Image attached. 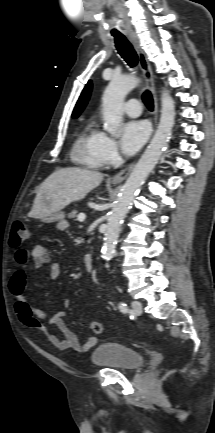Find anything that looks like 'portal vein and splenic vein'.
<instances>
[{
	"instance_id": "obj_1",
	"label": "portal vein and splenic vein",
	"mask_w": 215,
	"mask_h": 433,
	"mask_svg": "<svg viewBox=\"0 0 215 433\" xmlns=\"http://www.w3.org/2000/svg\"><path fill=\"white\" fill-rule=\"evenodd\" d=\"M85 218H86V216L83 213H81V214L78 215V221L79 222H83L85 220Z\"/></svg>"
}]
</instances>
